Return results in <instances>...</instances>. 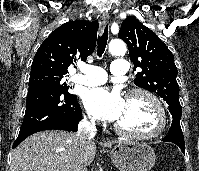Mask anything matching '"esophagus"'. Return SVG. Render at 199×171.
<instances>
[{"label":"esophagus","mask_w":199,"mask_h":171,"mask_svg":"<svg viewBox=\"0 0 199 171\" xmlns=\"http://www.w3.org/2000/svg\"><path fill=\"white\" fill-rule=\"evenodd\" d=\"M109 19H110L109 13L108 12H104L102 14V24L106 25L107 22L109 21Z\"/></svg>","instance_id":"34e87169"}]
</instances>
